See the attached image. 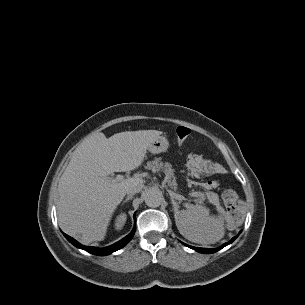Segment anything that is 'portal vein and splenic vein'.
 Listing matches in <instances>:
<instances>
[{"label":"portal vein and splenic vein","instance_id":"portal-vein-and-splenic-vein-1","mask_svg":"<svg viewBox=\"0 0 305 305\" xmlns=\"http://www.w3.org/2000/svg\"><path fill=\"white\" fill-rule=\"evenodd\" d=\"M123 179H124V177L122 175H117L115 179H112L109 177L107 178L108 181H121ZM172 195L179 200L183 199V197L179 194L172 193ZM192 195L197 196V192L192 193Z\"/></svg>","mask_w":305,"mask_h":305}]
</instances>
